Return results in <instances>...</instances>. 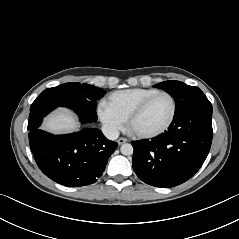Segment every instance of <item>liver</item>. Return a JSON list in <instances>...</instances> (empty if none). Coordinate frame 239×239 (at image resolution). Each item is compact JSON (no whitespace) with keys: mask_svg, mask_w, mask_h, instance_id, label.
<instances>
[{"mask_svg":"<svg viewBox=\"0 0 239 239\" xmlns=\"http://www.w3.org/2000/svg\"><path fill=\"white\" fill-rule=\"evenodd\" d=\"M79 127L76 118L67 110L60 109L49 117L43 123L42 128L51 133H67L77 130Z\"/></svg>","mask_w":239,"mask_h":239,"instance_id":"liver-1","label":"liver"}]
</instances>
